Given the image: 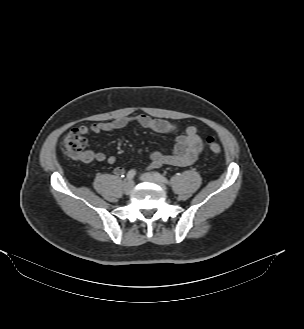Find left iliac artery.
<instances>
[{
    "label": "left iliac artery",
    "instance_id": "1",
    "mask_svg": "<svg viewBox=\"0 0 304 329\" xmlns=\"http://www.w3.org/2000/svg\"><path fill=\"white\" fill-rule=\"evenodd\" d=\"M154 175L162 183H164L166 185H170V182L168 181V179L166 177H164L163 175H161L160 173L154 172Z\"/></svg>",
    "mask_w": 304,
    "mask_h": 329
}]
</instances>
